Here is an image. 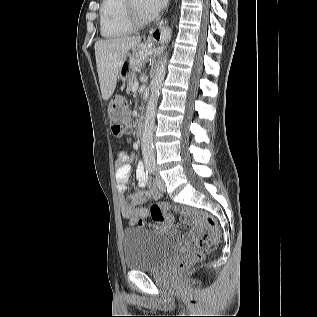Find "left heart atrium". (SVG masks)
<instances>
[{
	"label": "left heart atrium",
	"instance_id": "obj_1",
	"mask_svg": "<svg viewBox=\"0 0 317 317\" xmlns=\"http://www.w3.org/2000/svg\"><path fill=\"white\" fill-rule=\"evenodd\" d=\"M167 0H144V11L148 18H154L166 5Z\"/></svg>",
	"mask_w": 317,
	"mask_h": 317
}]
</instances>
